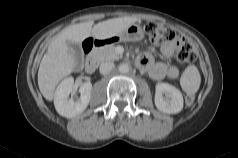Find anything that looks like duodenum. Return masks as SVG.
Masks as SVG:
<instances>
[{
  "instance_id": "410a0bca",
  "label": "duodenum",
  "mask_w": 238,
  "mask_h": 158,
  "mask_svg": "<svg viewBox=\"0 0 238 158\" xmlns=\"http://www.w3.org/2000/svg\"><path fill=\"white\" fill-rule=\"evenodd\" d=\"M110 41L108 40H95L89 41L85 44V49L89 52V55L85 61V70L88 73H93L96 69V60L93 56V52L98 48L109 44Z\"/></svg>"
}]
</instances>
